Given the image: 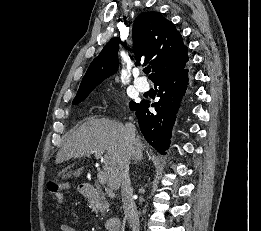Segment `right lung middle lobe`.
I'll use <instances>...</instances> for the list:
<instances>
[{
	"label": "right lung middle lobe",
	"instance_id": "1",
	"mask_svg": "<svg viewBox=\"0 0 261 231\" xmlns=\"http://www.w3.org/2000/svg\"><path fill=\"white\" fill-rule=\"evenodd\" d=\"M90 92H86V93H81V94H77L76 97L74 98L72 104L76 105L80 102H82L88 95ZM137 104L133 101L130 102V108L133 109Z\"/></svg>",
	"mask_w": 261,
	"mask_h": 231
}]
</instances>
